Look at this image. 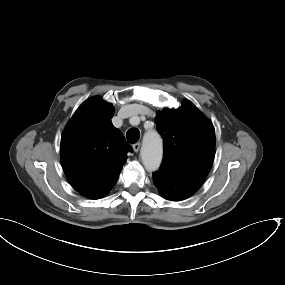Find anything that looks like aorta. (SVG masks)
Returning a JSON list of instances; mask_svg holds the SVG:
<instances>
[{
  "instance_id": "aorta-1",
  "label": "aorta",
  "mask_w": 285,
  "mask_h": 285,
  "mask_svg": "<svg viewBox=\"0 0 285 285\" xmlns=\"http://www.w3.org/2000/svg\"><path fill=\"white\" fill-rule=\"evenodd\" d=\"M140 154L147 171L152 172L159 169L162 161L163 147L161 137L156 131L145 133Z\"/></svg>"
}]
</instances>
